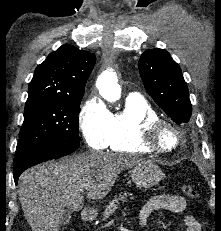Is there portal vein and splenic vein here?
<instances>
[{"mask_svg":"<svg viewBox=\"0 0 221 231\" xmlns=\"http://www.w3.org/2000/svg\"><path fill=\"white\" fill-rule=\"evenodd\" d=\"M86 189V186H82V190Z\"/></svg>","mask_w":221,"mask_h":231,"instance_id":"portal-vein-and-splenic-vein-1","label":"portal vein and splenic vein"}]
</instances>
